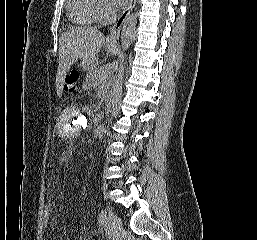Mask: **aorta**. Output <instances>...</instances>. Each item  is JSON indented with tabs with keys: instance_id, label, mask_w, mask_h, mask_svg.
<instances>
[{
	"instance_id": "1",
	"label": "aorta",
	"mask_w": 257,
	"mask_h": 240,
	"mask_svg": "<svg viewBox=\"0 0 257 240\" xmlns=\"http://www.w3.org/2000/svg\"><path fill=\"white\" fill-rule=\"evenodd\" d=\"M136 24H137V15L135 13L129 14L123 24L122 32H121V43L122 49L124 51L128 50L133 38L135 36L136 31ZM115 93V90H114Z\"/></svg>"
}]
</instances>
